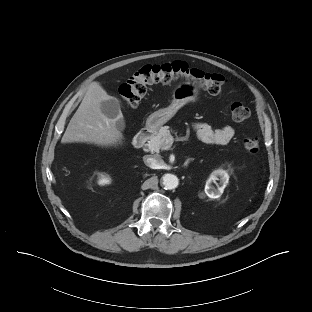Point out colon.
<instances>
[{
  "instance_id": "colon-1",
  "label": "colon",
  "mask_w": 312,
  "mask_h": 312,
  "mask_svg": "<svg viewBox=\"0 0 312 312\" xmlns=\"http://www.w3.org/2000/svg\"><path fill=\"white\" fill-rule=\"evenodd\" d=\"M178 80H188L212 95L219 94L224 86L225 78L220 74L207 73L192 68L181 61L165 64H152L141 67L130 79L119 88V94L125 104L136 108L152 84H170ZM231 118L235 122H243L249 117V109L240 102L233 103L230 108ZM244 149L251 154L259 151V140L247 137L243 140Z\"/></svg>"
}]
</instances>
